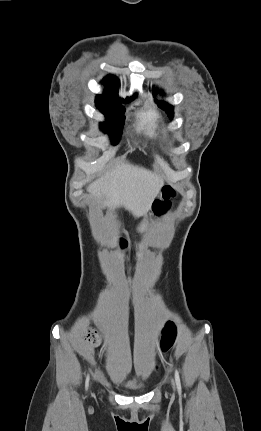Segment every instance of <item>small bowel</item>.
I'll return each mask as SVG.
<instances>
[{"instance_id":"small-bowel-1","label":"small bowel","mask_w":261,"mask_h":431,"mask_svg":"<svg viewBox=\"0 0 261 431\" xmlns=\"http://www.w3.org/2000/svg\"><path fill=\"white\" fill-rule=\"evenodd\" d=\"M130 336H133V333H130Z\"/></svg>"}]
</instances>
